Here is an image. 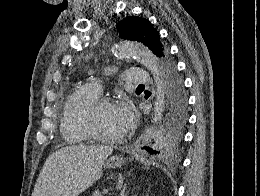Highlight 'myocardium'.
Wrapping results in <instances>:
<instances>
[{
    "label": "myocardium",
    "mask_w": 260,
    "mask_h": 196,
    "mask_svg": "<svg viewBox=\"0 0 260 196\" xmlns=\"http://www.w3.org/2000/svg\"><path fill=\"white\" fill-rule=\"evenodd\" d=\"M118 103L116 98L111 97H100L96 99L88 108L85 119L82 121V127L91 134L92 137L105 141V142H119L122 141L127 133V131H123L118 135H111L108 133L100 132L95 126V116L97 112L105 107L112 104Z\"/></svg>",
    "instance_id": "myocardium-1"
}]
</instances>
